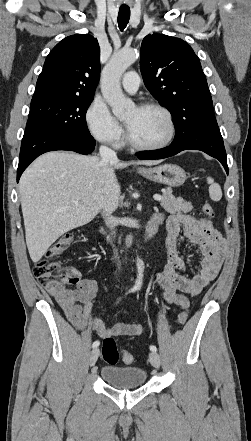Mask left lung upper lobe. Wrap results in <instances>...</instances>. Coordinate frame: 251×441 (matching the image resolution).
<instances>
[{
  "label": "left lung upper lobe",
  "mask_w": 251,
  "mask_h": 441,
  "mask_svg": "<svg viewBox=\"0 0 251 441\" xmlns=\"http://www.w3.org/2000/svg\"><path fill=\"white\" fill-rule=\"evenodd\" d=\"M140 51L144 84L170 111L175 129L198 115L215 116L199 58L187 42L167 35H147Z\"/></svg>",
  "instance_id": "1"
}]
</instances>
